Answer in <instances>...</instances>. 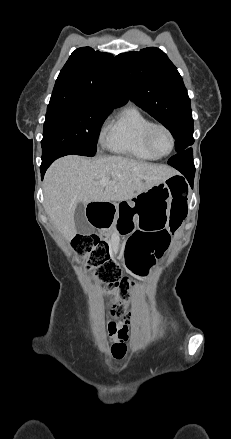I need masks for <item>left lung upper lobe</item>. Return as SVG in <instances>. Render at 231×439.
I'll use <instances>...</instances> for the list:
<instances>
[{
  "label": "left lung upper lobe",
  "mask_w": 231,
  "mask_h": 439,
  "mask_svg": "<svg viewBox=\"0 0 231 439\" xmlns=\"http://www.w3.org/2000/svg\"><path fill=\"white\" fill-rule=\"evenodd\" d=\"M116 63L130 99L169 129L178 153L189 148L194 142L190 99L167 55L149 47L119 54Z\"/></svg>",
  "instance_id": "obj_1"
}]
</instances>
